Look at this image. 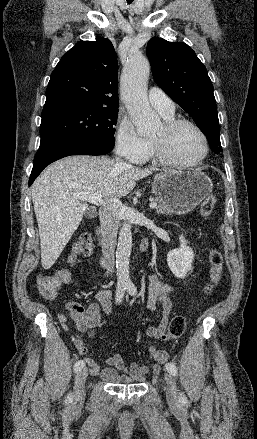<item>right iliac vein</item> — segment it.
I'll return each instance as SVG.
<instances>
[{
	"instance_id": "right-iliac-vein-1",
	"label": "right iliac vein",
	"mask_w": 257,
	"mask_h": 439,
	"mask_svg": "<svg viewBox=\"0 0 257 439\" xmlns=\"http://www.w3.org/2000/svg\"><path fill=\"white\" fill-rule=\"evenodd\" d=\"M88 376L87 368L81 369L75 380V399L77 401H82L85 398V381Z\"/></svg>"
}]
</instances>
